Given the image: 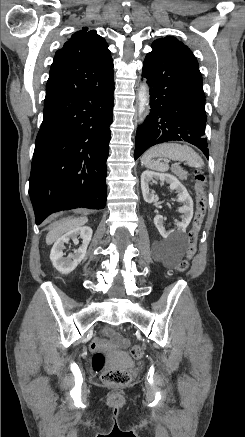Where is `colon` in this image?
<instances>
[{"label": "colon", "mask_w": 245, "mask_h": 437, "mask_svg": "<svg viewBox=\"0 0 245 437\" xmlns=\"http://www.w3.org/2000/svg\"><path fill=\"white\" fill-rule=\"evenodd\" d=\"M196 180V211L193 218L192 228L188 234V246L186 250V258L182 260L177 270L184 272L189 267V261L192 259L196 252V246L198 241L199 232L201 230L203 221L206 216L207 210V197L205 189L206 177L201 170L195 171ZM105 345V340L95 339L91 343V350L95 352L93 356V368L96 372L100 373L101 381L110 386H124L127 385L130 380V374L126 370L122 369H106L105 368V355L102 352V348ZM129 352L134 359H140L143 355V348L139 345H133L130 347Z\"/></svg>", "instance_id": "colon-1"}]
</instances>
